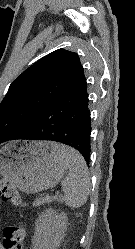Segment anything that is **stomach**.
Masks as SVG:
<instances>
[{"label": "stomach", "mask_w": 135, "mask_h": 249, "mask_svg": "<svg viewBox=\"0 0 135 249\" xmlns=\"http://www.w3.org/2000/svg\"><path fill=\"white\" fill-rule=\"evenodd\" d=\"M68 164L52 150V142L17 141L0 149V175L24 193L54 187Z\"/></svg>", "instance_id": "0dacf381"}]
</instances>
